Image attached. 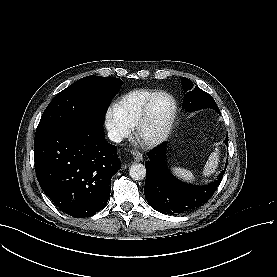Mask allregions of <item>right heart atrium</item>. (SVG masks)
<instances>
[{"label":"right heart atrium","instance_id":"right-heart-atrium-1","mask_svg":"<svg viewBox=\"0 0 277 277\" xmlns=\"http://www.w3.org/2000/svg\"><path fill=\"white\" fill-rule=\"evenodd\" d=\"M105 126L111 137L120 140L130 132V125L123 119L115 106H110L105 113Z\"/></svg>","mask_w":277,"mask_h":277}]
</instances>
